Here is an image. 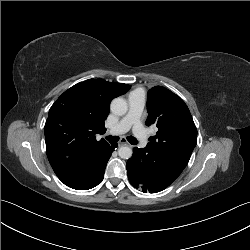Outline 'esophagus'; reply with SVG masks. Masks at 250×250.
<instances>
[{
  "mask_svg": "<svg viewBox=\"0 0 250 250\" xmlns=\"http://www.w3.org/2000/svg\"><path fill=\"white\" fill-rule=\"evenodd\" d=\"M122 145H130V144L125 138H121L120 141L118 142V146H122Z\"/></svg>",
  "mask_w": 250,
  "mask_h": 250,
  "instance_id": "obj_1",
  "label": "esophagus"
}]
</instances>
